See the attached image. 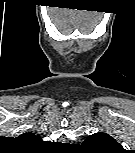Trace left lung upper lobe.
Returning a JSON list of instances; mask_svg holds the SVG:
<instances>
[{
  "label": "left lung upper lobe",
  "instance_id": "1",
  "mask_svg": "<svg viewBox=\"0 0 135 153\" xmlns=\"http://www.w3.org/2000/svg\"><path fill=\"white\" fill-rule=\"evenodd\" d=\"M83 146L90 150L103 153L121 150V145L110 135L103 132H98L88 136L83 142Z\"/></svg>",
  "mask_w": 135,
  "mask_h": 153
}]
</instances>
